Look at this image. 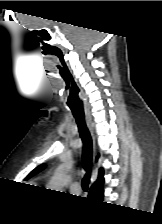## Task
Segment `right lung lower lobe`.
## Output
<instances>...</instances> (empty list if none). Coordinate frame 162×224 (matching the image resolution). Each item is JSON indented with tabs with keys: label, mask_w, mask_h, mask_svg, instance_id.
I'll return each mask as SVG.
<instances>
[{
	"label": "right lung lower lobe",
	"mask_w": 162,
	"mask_h": 224,
	"mask_svg": "<svg viewBox=\"0 0 162 224\" xmlns=\"http://www.w3.org/2000/svg\"><path fill=\"white\" fill-rule=\"evenodd\" d=\"M95 199H98V200H102L103 198V191H100L96 196H94Z\"/></svg>",
	"instance_id": "98d812e1"
}]
</instances>
